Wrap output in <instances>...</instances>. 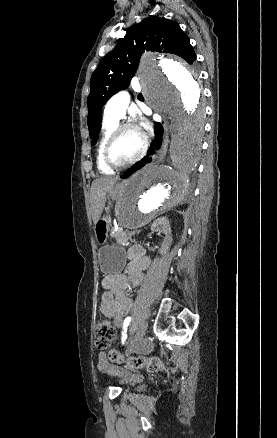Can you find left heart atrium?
<instances>
[{"mask_svg":"<svg viewBox=\"0 0 277 438\" xmlns=\"http://www.w3.org/2000/svg\"><path fill=\"white\" fill-rule=\"evenodd\" d=\"M146 129H147V124H146V122L142 121V122H141V131H142V134H145L144 130H146Z\"/></svg>","mask_w":277,"mask_h":438,"instance_id":"left-heart-atrium-1","label":"left heart atrium"}]
</instances>
